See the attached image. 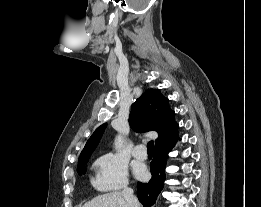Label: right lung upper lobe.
Masks as SVG:
<instances>
[{"instance_id":"cb5924a9","label":"right lung upper lobe","mask_w":261,"mask_h":207,"mask_svg":"<svg viewBox=\"0 0 261 207\" xmlns=\"http://www.w3.org/2000/svg\"><path fill=\"white\" fill-rule=\"evenodd\" d=\"M159 90L149 89L144 92L133 104L129 123L136 132L156 131L158 138L155 148L167 144L178 137V124L174 120V111ZM107 124L99 126L87 141L79 160L90 157L97 147Z\"/></svg>"}]
</instances>
